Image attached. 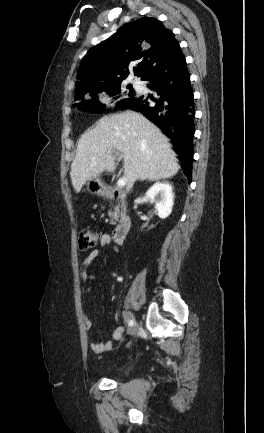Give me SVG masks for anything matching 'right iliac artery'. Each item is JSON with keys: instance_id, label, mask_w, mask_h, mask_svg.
Returning a JSON list of instances; mask_svg holds the SVG:
<instances>
[{"instance_id": "right-iliac-artery-1", "label": "right iliac artery", "mask_w": 264, "mask_h": 433, "mask_svg": "<svg viewBox=\"0 0 264 433\" xmlns=\"http://www.w3.org/2000/svg\"><path fill=\"white\" fill-rule=\"evenodd\" d=\"M133 324H134V321L132 319H128V325L133 326Z\"/></svg>"}]
</instances>
